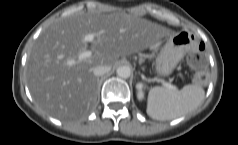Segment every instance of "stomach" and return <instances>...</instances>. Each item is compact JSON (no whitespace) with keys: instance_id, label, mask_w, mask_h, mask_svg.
I'll return each instance as SVG.
<instances>
[{"instance_id":"0dacf381","label":"stomach","mask_w":238,"mask_h":145,"mask_svg":"<svg viewBox=\"0 0 238 145\" xmlns=\"http://www.w3.org/2000/svg\"><path fill=\"white\" fill-rule=\"evenodd\" d=\"M165 48L155 58V71L160 76L172 73L182 56L190 52L196 43V38L191 32H180L167 35Z\"/></svg>"}]
</instances>
